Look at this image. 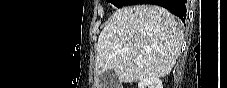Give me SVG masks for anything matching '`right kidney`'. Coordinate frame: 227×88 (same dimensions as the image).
<instances>
[{"label":"right kidney","instance_id":"obj_1","mask_svg":"<svg viewBox=\"0 0 227 88\" xmlns=\"http://www.w3.org/2000/svg\"><path fill=\"white\" fill-rule=\"evenodd\" d=\"M138 88H163L162 81L157 77H150L138 83Z\"/></svg>","mask_w":227,"mask_h":88}]
</instances>
